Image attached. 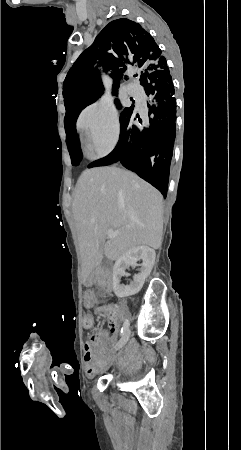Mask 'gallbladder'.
Listing matches in <instances>:
<instances>
[{"label":"gallbladder","instance_id":"obj_1","mask_svg":"<svg viewBox=\"0 0 241 450\" xmlns=\"http://www.w3.org/2000/svg\"><path fill=\"white\" fill-rule=\"evenodd\" d=\"M110 264H111L110 260H108L106 256H103V260L101 262L102 268H109Z\"/></svg>","mask_w":241,"mask_h":450}]
</instances>
